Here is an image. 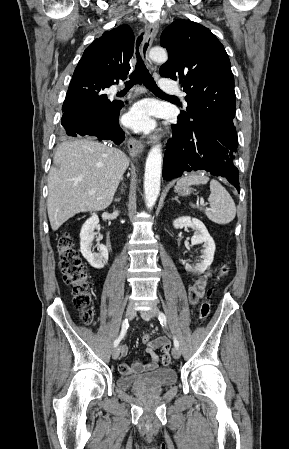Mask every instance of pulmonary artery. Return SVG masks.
Instances as JSON below:
<instances>
[{
	"label": "pulmonary artery",
	"instance_id": "obj_1",
	"mask_svg": "<svg viewBox=\"0 0 289 449\" xmlns=\"http://www.w3.org/2000/svg\"><path fill=\"white\" fill-rule=\"evenodd\" d=\"M160 86L163 89H169L170 88V81H168L167 79H161L160 80Z\"/></svg>",
	"mask_w": 289,
	"mask_h": 449
}]
</instances>
